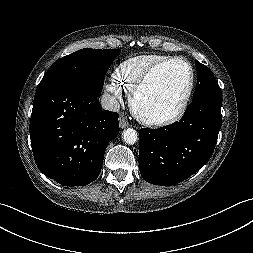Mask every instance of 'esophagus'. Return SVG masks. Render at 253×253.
<instances>
[{
  "instance_id": "34e87169",
  "label": "esophagus",
  "mask_w": 253,
  "mask_h": 253,
  "mask_svg": "<svg viewBox=\"0 0 253 253\" xmlns=\"http://www.w3.org/2000/svg\"><path fill=\"white\" fill-rule=\"evenodd\" d=\"M119 125H120V128L122 129L127 128L129 126V122L126 119V117L124 116L119 117Z\"/></svg>"
}]
</instances>
